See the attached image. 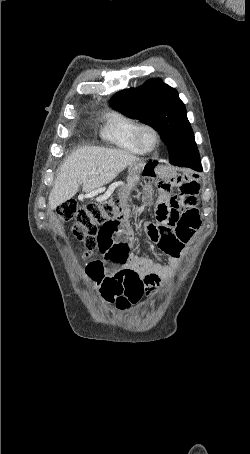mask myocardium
Wrapping results in <instances>:
<instances>
[{
  "instance_id": "myocardium-1",
  "label": "myocardium",
  "mask_w": 250,
  "mask_h": 454,
  "mask_svg": "<svg viewBox=\"0 0 250 454\" xmlns=\"http://www.w3.org/2000/svg\"><path fill=\"white\" fill-rule=\"evenodd\" d=\"M147 130L150 131L153 134V136H154V144H153L152 147H147L144 144L143 139H142V135H143L144 131H147ZM135 138H136L137 144L140 146V148L145 153H149V152L154 151L159 146V143H160V133H159V131L156 129L155 126H153L152 124H149V123H140L137 126L136 133H135Z\"/></svg>"
}]
</instances>
